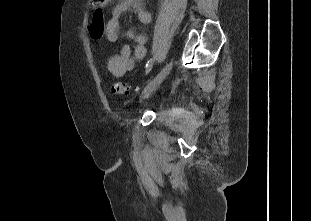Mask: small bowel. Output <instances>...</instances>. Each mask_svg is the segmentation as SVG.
Returning a JSON list of instances; mask_svg holds the SVG:
<instances>
[{
  "mask_svg": "<svg viewBox=\"0 0 311 221\" xmlns=\"http://www.w3.org/2000/svg\"><path fill=\"white\" fill-rule=\"evenodd\" d=\"M128 10L135 11L141 24L148 25L151 23V14L144 8L143 0H121L112 9L111 17L106 25V37L109 41L115 42L118 39L119 20ZM127 37L134 41V49L125 44L118 54L112 55L108 60V71L116 77H122L128 71H131L137 61L142 60L146 55V35L144 33L129 30Z\"/></svg>",
  "mask_w": 311,
  "mask_h": 221,
  "instance_id": "small-bowel-1",
  "label": "small bowel"
}]
</instances>
